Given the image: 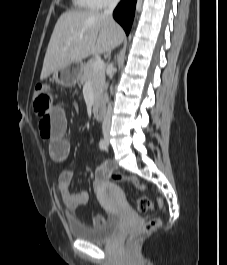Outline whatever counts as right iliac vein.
Instances as JSON below:
<instances>
[{"instance_id": "obj_1", "label": "right iliac vein", "mask_w": 227, "mask_h": 265, "mask_svg": "<svg viewBox=\"0 0 227 265\" xmlns=\"http://www.w3.org/2000/svg\"><path fill=\"white\" fill-rule=\"evenodd\" d=\"M104 136H105V139H106V140L109 139V135H108V133H105Z\"/></svg>"}]
</instances>
